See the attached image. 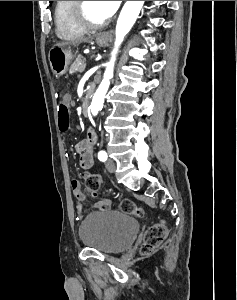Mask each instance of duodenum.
I'll return each mask as SVG.
<instances>
[{
	"instance_id": "duodenum-1",
	"label": "duodenum",
	"mask_w": 237,
	"mask_h": 300,
	"mask_svg": "<svg viewBox=\"0 0 237 300\" xmlns=\"http://www.w3.org/2000/svg\"><path fill=\"white\" fill-rule=\"evenodd\" d=\"M90 105V92H87L81 102V112L83 115H87Z\"/></svg>"
}]
</instances>
